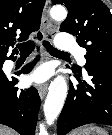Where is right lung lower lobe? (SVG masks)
Segmentation results:
<instances>
[{
  "mask_svg": "<svg viewBox=\"0 0 112 135\" xmlns=\"http://www.w3.org/2000/svg\"><path fill=\"white\" fill-rule=\"evenodd\" d=\"M33 64L26 65L22 71L28 73ZM18 79L8 80L5 74L0 75V124L7 125L21 135H34L40 97L35 87L19 90L14 85Z\"/></svg>",
  "mask_w": 112,
  "mask_h": 135,
  "instance_id": "obj_1",
  "label": "right lung lower lobe"
}]
</instances>
